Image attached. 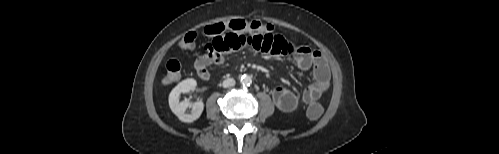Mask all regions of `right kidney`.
<instances>
[{"mask_svg": "<svg viewBox=\"0 0 499 154\" xmlns=\"http://www.w3.org/2000/svg\"><path fill=\"white\" fill-rule=\"evenodd\" d=\"M197 85L196 80L189 78L181 81L170 93L169 95V106L172 112L182 121L186 123H191L197 120L204 109V104L202 101L190 104L188 101L179 102L180 93H188L193 91ZM188 106H192V111L190 114L186 113Z\"/></svg>", "mask_w": 499, "mask_h": 154, "instance_id": "1", "label": "right kidney"}]
</instances>
